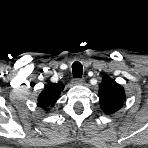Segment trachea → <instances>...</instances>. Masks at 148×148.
<instances>
[{"instance_id": "trachea-1", "label": "trachea", "mask_w": 148, "mask_h": 148, "mask_svg": "<svg viewBox=\"0 0 148 148\" xmlns=\"http://www.w3.org/2000/svg\"><path fill=\"white\" fill-rule=\"evenodd\" d=\"M73 77L81 78L83 74V66L80 62L76 61L72 64Z\"/></svg>"}]
</instances>
